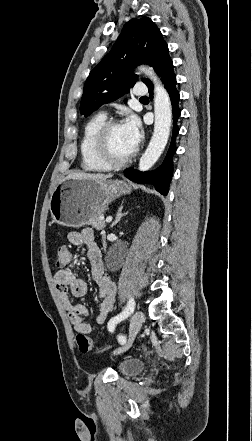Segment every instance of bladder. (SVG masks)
Here are the masks:
<instances>
[{
	"instance_id": "1",
	"label": "bladder",
	"mask_w": 252,
	"mask_h": 441,
	"mask_svg": "<svg viewBox=\"0 0 252 441\" xmlns=\"http://www.w3.org/2000/svg\"><path fill=\"white\" fill-rule=\"evenodd\" d=\"M144 368V361L139 358H126L119 364V373L124 376L138 375Z\"/></svg>"
}]
</instances>
